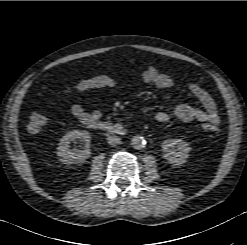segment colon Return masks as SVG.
<instances>
[{"mask_svg": "<svg viewBox=\"0 0 247 245\" xmlns=\"http://www.w3.org/2000/svg\"><path fill=\"white\" fill-rule=\"evenodd\" d=\"M110 76L107 74H99L88 79L82 80L77 84L73 85L68 91H83L87 92L93 89L106 88L109 84ZM46 116L42 113H32L28 123V130L31 133H38L46 123ZM201 127L210 132L218 131V127L207 122L201 123Z\"/></svg>", "mask_w": 247, "mask_h": 245, "instance_id": "obj_1", "label": "colon"}]
</instances>
